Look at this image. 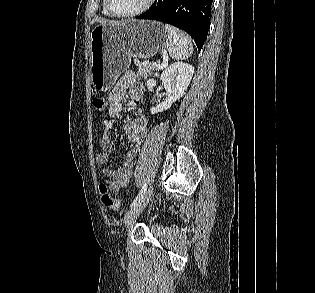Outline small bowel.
<instances>
[{"label": "small bowel", "mask_w": 315, "mask_h": 293, "mask_svg": "<svg viewBox=\"0 0 315 293\" xmlns=\"http://www.w3.org/2000/svg\"><path fill=\"white\" fill-rule=\"evenodd\" d=\"M144 94V86L137 81L135 74L126 72L116 83L109 93L107 101L109 104L108 117L103 120V135L101 138V151L96 155V162L99 165L108 163L110 154L113 151V143L109 136L122 111V101L129 95L135 109L141 104ZM147 119L144 115L136 112L132 119L124 125V132L132 144L131 149L124 155V163L116 168H105L104 176L107 178V187L112 192L124 188L131 179L134 160L140 150V145L147 135Z\"/></svg>", "instance_id": "1"}]
</instances>
